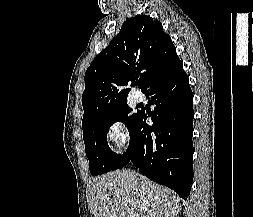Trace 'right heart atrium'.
<instances>
[{"instance_id":"obj_1","label":"right heart atrium","mask_w":253,"mask_h":217,"mask_svg":"<svg viewBox=\"0 0 253 217\" xmlns=\"http://www.w3.org/2000/svg\"><path fill=\"white\" fill-rule=\"evenodd\" d=\"M106 135L116 150L122 149L128 140L126 127L120 120H113L108 124Z\"/></svg>"}]
</instances>
